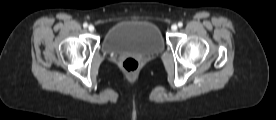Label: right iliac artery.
<instances>
[{"label": "right iliac artery", "mask_w": 276, "mask_h": 120, "mask_svg": "<svg viewBox=\"0 0 276 120\" xmlns=\"http://www.w3.org/2000/svg\"><path fill=\"white\" fill-rule=\"evenodd\" d=\"M87 26H88L87 23H84V24H83V27H84V28H87Z\"/></svg>", "instance_id": "1"}]
</instances>
